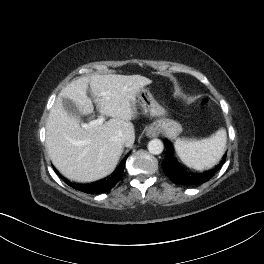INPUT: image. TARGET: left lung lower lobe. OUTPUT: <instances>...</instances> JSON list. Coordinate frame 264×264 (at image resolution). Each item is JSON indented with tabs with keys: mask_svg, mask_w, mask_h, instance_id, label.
I'll return each mask as SVG.
<instances>
[{
	"mask_svg": "<svg viewBox=\"0 0 264 264\" xmlns=\"http://www.w3.org/2000/svg\"><path fill=\"white\" fill-rule=\"evenodd\" d=\"M164 143L167 150L166 158L162 162L164 173L172 182L179 185H199L208 181L221 168L227 156V154H225L220 163L210 171L204 173H194L188 171L177 162L173 155L169 141L165 140Z\"/></svg>",
	"mask_w": 264,
	"mask_h": 264,
	"instance_id": "left-lung-lower-lobe-1",
	"label": "left lung lower lobe"
}]
</instances>
